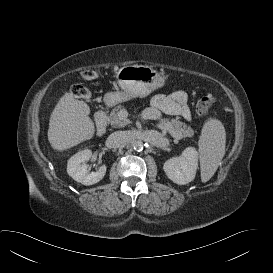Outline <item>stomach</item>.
<instances>
[{
    "mask_svg": "<svg viewBox=\"0 0 273 273\" xmlns=\"http://www.w3.org/2000/svg\"><path fill=\"white\" fill-rule=\"evenodd\" d=\"M116 79L122 91L108 92L104 96L107 106L144 97L165 85V77L150 66L131 65L118 70Z\"/></svg>",
    "mask_w": 273,
    "mask_h": 273,
    "instance_id": "stomach-1",
    "label": "stomach"
}]
</instances>
